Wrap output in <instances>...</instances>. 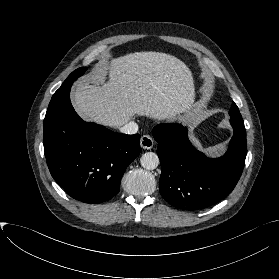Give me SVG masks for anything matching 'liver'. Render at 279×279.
<instances>
[{
  "instance_id": "1",
  "label": "liver",
  "mask_w": 279,
  "mask_h": 279,
  "mask_svg": "<svg viewBox=\"0 0 279 279\" xmlns=\"http://www.w3.org/2000/svg\"><path fill=\"white\" fill-rule=\"evenodd\" d=\"M195 100L192 72L180 59L161 52H135L101 61L72 93L86 121L120 127L133 116L174 120Z\"/></svg>"
}]
</instances>
